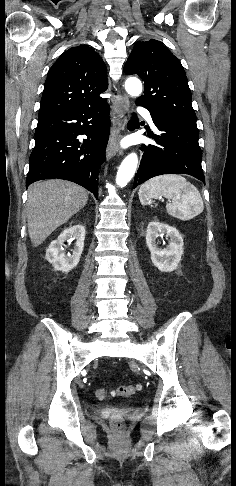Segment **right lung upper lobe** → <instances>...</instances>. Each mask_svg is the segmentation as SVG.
<instances>
[{"mask_svg":"<svg viewBox=\"0 0 236 486\" xmlns=\"http://www.w3.org/2000/svg\"><path fill=\"white\" fill-rule=\"evenodd\" d=\"M107 88L101 57L86 45L70 48L48 72L38 118L102 103L106 100L99 95Z\"/></svg>","mask_w":236,"mask_h":486,"instance_id":"obj_1","label":"right lung upper lobe"}]
</instances>
